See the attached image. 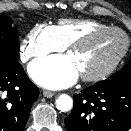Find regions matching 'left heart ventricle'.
Returning a JSON list of instances; mask_svg holds the SVG:
<instances>
[{"label": "left heart ventricle", "instance_id": "b2bd125f", "mask_svg": "<svg viewBox=\"0 0 131 131\" xmlns=\"http://www.w3.org/2000/svg\"><path fill=\"white\" fill-rule=\"evenodd\" d=\"M125 38L118 33H105L88 44L71 51L80 74H91L105 68L123 49Z\"/></svg>", "mask_w": 131, "mask_h": 131}]
</instances>
